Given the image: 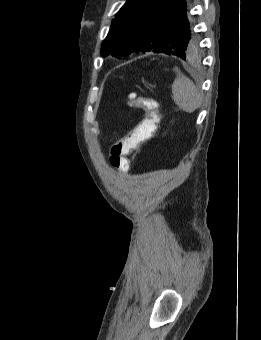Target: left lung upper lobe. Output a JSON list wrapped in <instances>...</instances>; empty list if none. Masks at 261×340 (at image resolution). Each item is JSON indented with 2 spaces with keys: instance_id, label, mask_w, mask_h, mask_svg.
<instances>
[{
  "instance_id": "obj_1",
  "label": "left lung upper lobe",
  "mask_w": 261,
  "mask_h": 340,
  "mask_svg": "<svg viewBox=\"0 0 261 340\" xmlns=\"http://www.w3.org/2000/svg\"><path fill=\"white\" fill-rule=\"evenodd\" d=\"M165 1L127 0L112 20L101 54L122 57L163 49L183 60L197 58L201 48L192 16L187 12L177 21L168 19L167 13L160 11Z\"/></svg>"
}]
</instances>
